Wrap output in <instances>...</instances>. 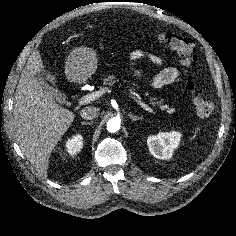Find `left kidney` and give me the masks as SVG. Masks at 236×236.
I'll list each match as a JSON object with an SVG mask.
<instances>
[{
  "label": "left kidney",
  "mask_w": 236,
  "mask_h": 236,
  "mask_svg": "<svg viewBox=\"0 0 236 236\" xmlns=\"http://www.w3.org/2000/svg\"><path fill=\"white\" fill-rule=\"evenodd\" d=\"M181 140V133L172 131L159 133L147 138V145L150 153L157 159L167 160L173 155Z\"/></svg>",
  "instance_id": "1"
}]
</instances>
